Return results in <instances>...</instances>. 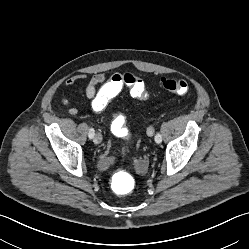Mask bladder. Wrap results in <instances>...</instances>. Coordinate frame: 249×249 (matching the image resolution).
Listing matches in <instances>:
<instances>
[{
	"mask_svg": "<svg viewBox=\"0 0 249 249\" xmlns=\"http://www.w3.org/2000/svg\"><path fill=\"white\" fill-rule=\"evenodd\" d=\"M102 167H106L104 164H102Z\"/></svg>",
	"mask_w": 249,
	"mask_h": 249,
	"instance_id": "1",
	"label": "bladder"
}]
</instances>
